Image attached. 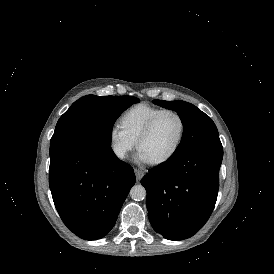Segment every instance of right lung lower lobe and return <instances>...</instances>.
Instances as JSON below:
<instances>
[{
  "label": "right lung lower lobe",
  "mask_w": 274,
  "mask_h": 274,
  "mask_svg": "<svg viewBox=\"0 0 274 274\" xmlns=\"http://www.w3.org/2000/svg\"><path fill=\"white\" fill-rule=\"evenodd\" d=\"M135 181L133 169L104 142L63 150L50 161L55 207L65 225L87 240L102 238L113 228Z\"/></svg>",
  "instance_id": "98d812e1"
}]
</instances>
